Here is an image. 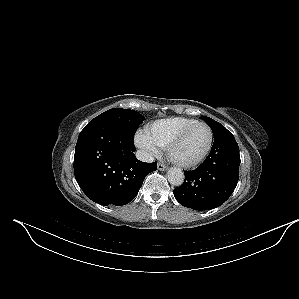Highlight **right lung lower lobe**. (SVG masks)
<instances>
[{
  "label": "right lung lower lobe",
  "instance_id": "1",
  "mask_svg": "<svg viewBox=\"0 0 299 299\" xmlns=\"http://www.w3.org/2000/svg\"><path fill=\"white\" fill-rule=\"evenodd\" d=\"M133 137L114 122L100 119L91 120L79 134L74 174L92 201L125 205L138 194L144 178L157 169L156 162L136 158Z\"/></svg>",
  "mask_w": 299,
  "mask_h": 299
}]
</instances>
